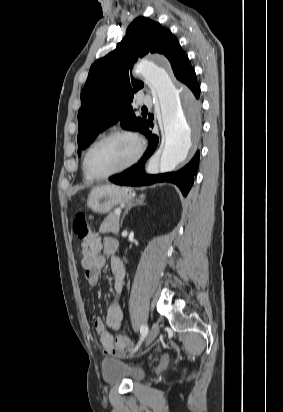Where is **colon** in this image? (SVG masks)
Here are the masks:
<instances>
[{
	"label": "colon",
	"instance_id": "1",
	"mask_svg": "<svg viewBox=\"0 0 283 412\" xmlns=\"http://www.w3.org/2000/svg\"><path fill=\"white\" fill-rule=\"evenodd\" d=\"M73 230L81 241L82 259L93 260L98 253L99 241L84 212L80 211L75 215ZM114 343L116 351L119 352H128L133 348L131 340L125 335H118Z\"/></svg>",
	"mask_w": 283,
	"mask_h": 412
}]
</instances>
